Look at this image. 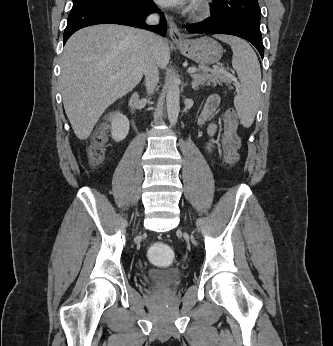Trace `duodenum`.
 Wrapping results in <instances>:
<instances>
[{
    "label": "duodenum",
    "instance_id": "410a0bca",
    "mask_svg": "<svg viewBox=\"0 0 333 346\" xmlns=\"http://www.w3.org/2000/svg\"><path fill=\"white\" fill-rule=\"evenodd\" d=\"M139 93L138 92H134L129 99V107H130V111L131 114L134 118H137V106H138V101H139Z\"/></svg>",
    "mask_w": 333,
    "mask_h": 346
}]
</instances>
